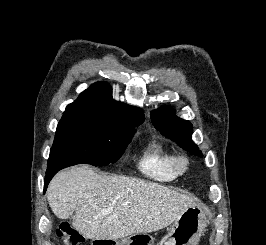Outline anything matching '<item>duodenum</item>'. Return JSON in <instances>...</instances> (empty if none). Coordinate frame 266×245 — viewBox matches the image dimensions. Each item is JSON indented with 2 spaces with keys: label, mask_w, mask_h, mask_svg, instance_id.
Masks as SVG:
<instances>
[{
  "label": "duodenum",
  "mask_w": 266,
  "mask_h": 245,
  "mask_svg": "<svg viewBox=\"0 0 266 245\" xmlns=\"http://www.w3.org/2000/svg\"><path fill=\"white\" fill-rule=\"evenodd\" d=\"M110 242H116V237H93V245H110Z\"/></svg>",
  "instance_id": "duodenum-1"
}]
</instances>
